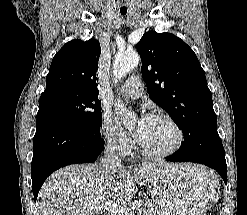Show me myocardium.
Returning a JSON list of instances; mask_svg holds the SVG:
<instances>
[{
  "instance_id": "obj_1",
  "label": "myocardium",
  "mask_w": 247,
  "mask_h": 215,
  "mask_svg": "<svg viewBox=\"0 0 247 215\" xmlns=\"http://www.w3.org/2000/svg\"><path fill=\"white\" fill-rule=\"evenodd\" d=\"M154 118L168 123L173 128V130L176 133L175 143L168 150L161 151V152H152L144 148L139 142V140L136 138L135 139L136 148L140 152V154L144 156L145 158H148L151 160L165 159V158H168L174 155L182 147L184 143L185 135L180 125L170 115L165 114V113H157L154 115Z\"/></svg>"
}]
</instances>
